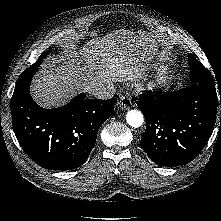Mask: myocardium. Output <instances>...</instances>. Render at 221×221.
<instances>
[{"mask_svg": "<svg viewBox=\"0 0 221 221\" xmlns=\"http://www.w3.org/2000/svg\"><path fill=\"white\" fill-rule=\"evenodd\" d=\"M174 77L169 74H161L152 84V88L158 91H167L174 85Z\"/></svg>", "mask_w": 221, "mask_h": 221, "instance_id": "f54148a6", "label": "myocardium"}]
</instances>
